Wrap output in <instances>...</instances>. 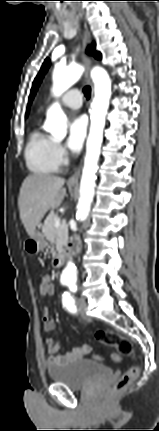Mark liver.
<instances>
[{
  "label": "liver",
  "instance_id": "liver-1",
  "mask_svg": "<svg viewBox=\"0 0 159 431\" xmlns=\"http://www.w3.org/2000/svg\"><path fill=\"white\" fill-rule=\"evenodd\" d=\"M64 183L63 178L48 174H31L23 181L18 206L20 219L30 237L47 211L61 205L66 196Z\"/></svg>",
  "mask_w": 159,
  "mask_h": 431
}]
</instances>
